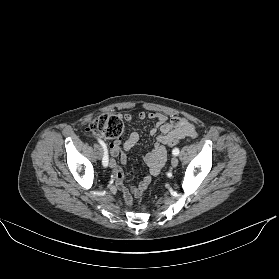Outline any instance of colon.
<instances>
[{
    "mask_svg": "<svg viewBox=\"0 0 279 279\" xmlns=\"http://www.w3.org/2000/svg\"><path fill=\"white\" fill-rule=\"evenodd\" d=\"M89 131L98 137L105 139H118L124 131V125L121 119L115 115L100 114L96 116L89 124ZM182 140L178 137H172L168 140L167 145L175 146Z\"/></svg>",
    "mask_w": 279,
    "mask_h": 279,
    "instance_id": "1",
    "label": "colon"
}]
</instances>
